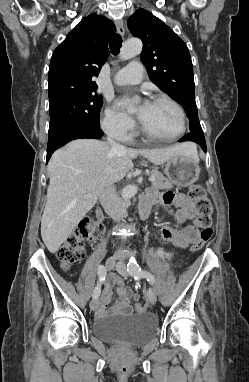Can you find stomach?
<instances>
[{"label": "stomach", "mask_w": 249, "mask_h": 382, "mask_svg": "<svg viewBox=\"0 0 249 382\" xmlns=\"http://www.w3.org/2000/svg\"><path fill=\"white\" fill-rule=\"evenodd\" d=\"M169 180L180 187L195 183L200 174L198 159L188 154H178L169 159L165 165Z\"/></svg>", "instance_id": "obj_1"}]
</instances>
